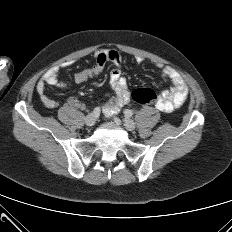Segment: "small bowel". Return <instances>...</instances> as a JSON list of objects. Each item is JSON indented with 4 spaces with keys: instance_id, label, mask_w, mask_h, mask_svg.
<instances>
[{
    "instance_id": "small-bowel-1",
    "label": "small bowel",
    "mask_w": 232,
    "mask_h": 232,
    "mask_svg": "<svg viewBox=\"0 0 232 232\" xmlns=\"http://www.w3.org/2000/svg\"><path fill=\"white\" fill-rule=\"evenodd\" d=\"M107 63H111L115 66L109 76V84L114 95L106 102L102 103L100 107L107 116H113L130 101L128 82L121 70L122 58L117 51L113 49L98 50L94 55V63L92 67L75 73L74 81L76 83L86 82L100 74ZM136 63H142V59L136 58ZM69 65L70 63H64L60 66H54L48 69L37 83V92L40 95L42 103L47 108H55L58 103L46 94V85L65 88L66 85L59 81L58 76L60 69ZM157 69L161 72L163 77L171 81L172 88L161 93L156 102V108L160 111L170 113L183 105L188 96V87L182 76L176 70L162 64H158ZM68 104L75 109L84 110L87 108V106L80 102L76 97L69 98Z\"/></svg>"
}]
</instances>
